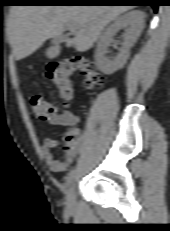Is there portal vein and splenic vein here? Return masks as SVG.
Wrapping results in <instances>:
<instances>
[{
	"label": "portal vein and splenic vein",
	"mask_w": 170,
	"mask_h": 231,
	"mask_svg": "<svg viewBox=\"0 0 170 231\" xmlns=\"http://www.w3.org/2000/svg\"><path fill=\"white\" fill-rule=\"evenodd\" d=\"M71 33H74L75 32V30L72 28V27H68L67 28Z\"/></svg>",
	"instance_id": "portal-vein-and-splenic-vein-1"
}]
</instances>
